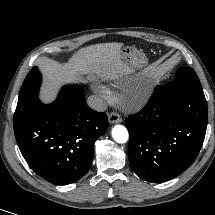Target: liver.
Wrapping results in <instances>:
<instances>
[{
  "instance_id": "obj_1",
  "label": "liver",
  "mask_w": 215,
  "mask_h": 215,
  "mask_svg": "<svg viewBox=\"0 0 215 215\" xmlns=\"http://www.w3.org/2000/svg\"><path fill=\"white\" fill-rule=\"evenodd\" d=\"M121 43H101L81 48L68 62L47 61L42 65V72L53 84L43 92V99L48 101L54 96V85L72 83L88 78L121 80L128 77L133 69L122 60Z\"/></svg>"
}]
</instances>
